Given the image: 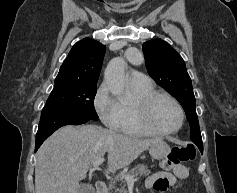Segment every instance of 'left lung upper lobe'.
I'll list each match as a JSON object with an SVG mask.
<instances>
[{
	"mask_svg": "<svg viewBox=\"0 0 237 193\" xmlns=\"http://www.w3.org/2000/svg\"><path fill=\"white\" fill-rule=\"evenodd\" d=\"M142 49L149 75L180 102L190 123V138L199 150L203 149L195 97L184 60L162 39L147 41Z\"/></svg>",
	"mask_w": 237,
	"mask_h": 193,
	"instance_id": "5c2ea615",
	"label": "left lung upper lobe"
}]
</instances>
